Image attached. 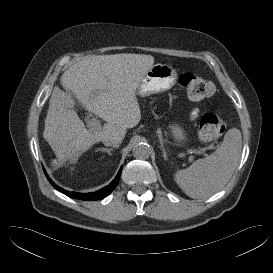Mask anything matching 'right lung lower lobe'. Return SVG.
Returning a JSON list of instances; mask_svg holds the SVG:
<instances>
[{
  "instance_id": "98d812e1",
  "label": "right lung lower lobe",
  "mask_w": 273,
  "mask_h": 273,
  "mask_svg": "<svg viewBox=\"0 0 273 273\" xmlns=\"http://www.w3.org/2000/svg\"><path fill=\"white\" fill-rule=\"evenodd\" d=\"M45 174H46V172H45ZM120 175H121V169L119 170L116 178L108 186L102 188L101 190H98L96 192H91V193L69 192L67 190H64V189L58 187L56 184H54L52 182V180H50V178L47 176V174H46V177L48 178V180L50 181L52 186L55 187L61 193L65 194L71 198H74V199L92 201V200H101V199L105 198L106 196H108L114 190L115 186L117 185Z\"/></svg>"
}]
</instances>
